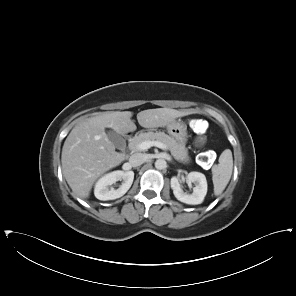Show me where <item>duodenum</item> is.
I'll list each match as a JSON object with an SVG mask.
<instances>
[{"label": "duodenum", "mask_w": 296, "mask_h": 296, "mask_svg": "<svg viewBox=\"0 0 296 296\" xmlns=\"http://www.w3.org/2000/svg\"><path fill=\"white\" fill-rule=\"evenodd\" d=\"M133 139H134V135H133L132 132H130V133H128V134L126 135V140H127V142H128L129 144H131V142H132Z\"/></svg>", "instance_id": "duodenum-1"}]
</instances>
